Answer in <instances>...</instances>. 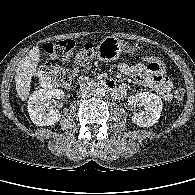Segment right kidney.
I'll use <instances>...</instances> for the list:
<instances>
[{"mask_svg":"<svg viewBox=\"0 0 195 195\" xmlns=\"http://www.w3.org/2000/svg\"><path fill=\"white\" fill-rule=\"evenodd\" d=\"M62 97H64V92L60 89L43 88L34 91L28 101L31 121L37 126H49L57 123L61 118V113L49 104V100Z\"/></svg>","mask_w":195,"mask_h":195,"instance_id":"1","label":"right kidney"}]
</instances>
